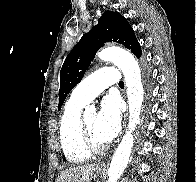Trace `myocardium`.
I'll list each match as a JSON object with an SVG mask.
<instances>
[{
  "label": "myocardium",
  "mask_w": 196,
  "mask_h": 182,
  "mask_svg": "<svg viewBox=\"0 0 196 182\" xmlns=\"http://www.w3.org/2000/svg\"><path fill=\"white\" fill-rule=\"evenodd\" d=\"M80 140L83 147L90 153H98L106 148L105 143H96L87 129L85 117L80 118L79 122Z\"/></svg>",
  "instance_id": "1"
}]
</instances>
